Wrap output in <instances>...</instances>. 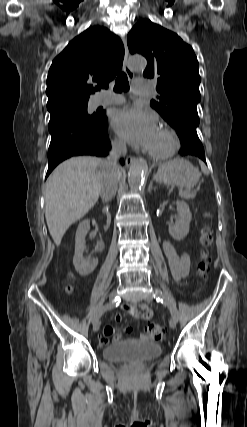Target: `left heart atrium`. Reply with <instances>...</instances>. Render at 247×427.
Instances as JSON below:
<instances>
[{
	"mask_svg": "<svg viewBox=\"0 0 247 427\" xmlns=\"http://www.w3.org/2000/svg\"><path fill=\"white\" fill-rule=\"evenodd\" d=\"M115 132L135 147L149 148L157 131L156 119L137 107L123 108L112 119Z\"/></svg>",
	"mask_w": 247,
	"mask_h": 427,
	"instance_id": "obj_1",
	"label": "left heart atrium"
}]
</instances>
